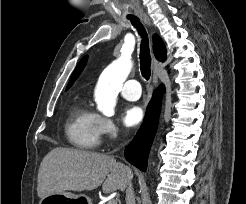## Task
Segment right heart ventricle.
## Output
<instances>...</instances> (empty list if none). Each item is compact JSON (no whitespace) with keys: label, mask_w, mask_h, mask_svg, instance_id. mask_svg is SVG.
I'll use <instances>...</instances> for the list:
<instances>
[{"label":"right heart ventricle","mask_w":246,"mask_h":204,"mask_svg":"<svg viewBox=\"0 0 246 204\" xmlns=\"http://www.w3.org/2000/svg\"><path fill=\"white\" fill-rule=\"evenodd\" d=\"M65 133L72 146L81 150H94L101 141V116L84 101H79L69 111Z\"/></svg>","instance_id":"e07e8e85"}]
</instances>
